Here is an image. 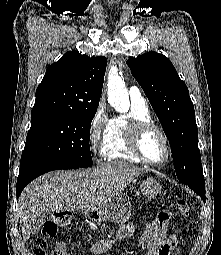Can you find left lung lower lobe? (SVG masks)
Here are the masks:
<instances>
[{"label":"left lung lower lobe","instance_id":"obj_1","mask_svg":"<svg viewBox=\"0 0 221 255\" xmlns=\"http://www.w3.org/2000/svg\"><path fill=\"white\" fill-rule=\"evenodd\" d=\"M185 185L194 190L205 202V183L199 184L185 183Z\"/></svg>","mask_w":221,"mask_h":255}]
</instances>
